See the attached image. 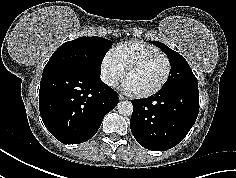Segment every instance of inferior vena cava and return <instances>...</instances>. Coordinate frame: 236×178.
Masks as SVG:
<instances>
[{"instance_id": "1", "label": "inferior vena cava", "mask_w": 236, "mask_h": 178, "mask_svg": "<svg viewBox=\"0 0 236 178\" xmlns=\"http://www.w3.org/2000/svg\"><path fill=\"white\" fill-rule=\"evenodd\" d=\"M101 79H102V81H103L104 83H106V84L109 85V86H113V85L115 84L114 79L111 78V77H108V76H106V75H103V76L101 77Z\"/></svg>"}]
</instances>
